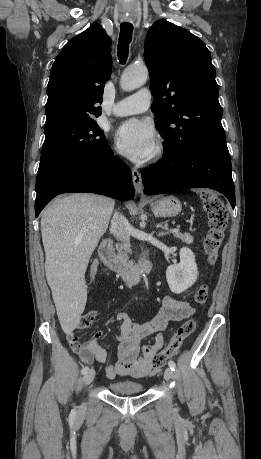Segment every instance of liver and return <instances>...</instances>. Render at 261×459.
Segmentation results:
<instances>
[{
  "label": "liver",
  "instance_id": "obj_1",
  "mask_svg": "<svg viewBox=\"0 0 261 459\" xmlns=\"http://www.w3.org/2000/svg\"><path fill=\"white\" fill-rule=\"evenodd\" d=\"M114 206L111 198L75 193L56 198L42 213L46 279L66 334L77 327L84 311L85 272Z\"/></svg>",
  "mask_w": 261,
  "mask_h": 459
}]
</instances>
